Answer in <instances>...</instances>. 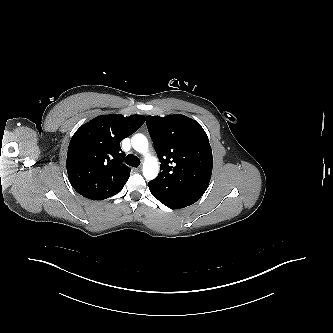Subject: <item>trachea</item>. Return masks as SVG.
<instances>
[{"instance_id": "obj_1", "label": "trachea", "mask_w": 333, "mask_h": 333, "mask_svg": "<svg viewBox=\"0 0 333 333\" xmlns=\"http://www.w3.org/2000/svg\"><path fill=\"white\" fill-rule=\"evenodd\" d=\"M125 161L127 165L132 167H138L140 165V159L134 154H128Z\"/></svg>"}]
</instances>
